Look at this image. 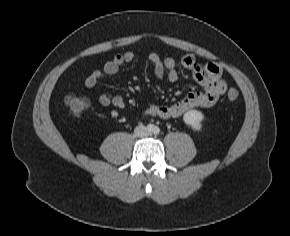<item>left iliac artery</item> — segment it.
<instances>
[{"label": "left iliac artery", "instance_id": "1", "mask_svg": "<svg viewBox=\"0 0 290 236\" xmlns=\"http://www.w3.org/2000/svg\"><path fill=\"white\" fill-rule=\"evenodd\" d=\"M159 133H160V129H159L158 127H155V128H154V134L157 135V134H159Z\"/></svg>", "mask_w": 290, "mask_h": 236}]
</instances>
